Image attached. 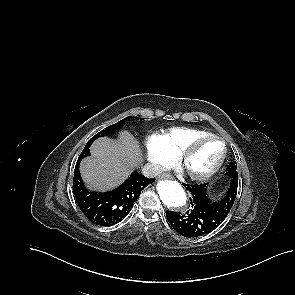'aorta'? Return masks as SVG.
I'll return each mask as SVG.
<instances>
[{
  "label": "aorta",
  "mask_w": 295,
  "mask_h": 295,
  "mask_svg": "<svg viewBox=\"0 0 295 295\" xmlns=\"http://www.w3.org/2000/svg\"><path fill=\"white\" fill-rule=\"evenodd\" d=\"M160 199L170 208H181L187 203V195L177 181L161 180L157 183Z\"/></svg>",
  "instance_id": "aorta-1"
}]
</instances>
